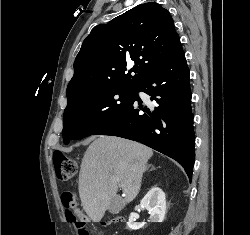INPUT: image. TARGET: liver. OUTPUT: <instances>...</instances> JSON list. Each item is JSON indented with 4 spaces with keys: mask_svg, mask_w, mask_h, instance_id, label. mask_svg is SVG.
<instances>
[{
    "mask_svg": "<svg viewBox=\"0 0 250 235\" xmlns=\"http://www.w3.org/2000/svg\"><path fill=\"white\" fill-rule=\"evenodd\" d=\"M153 151L140 143L115 136H100L87 148L79 174L83 209L93 222H100L118 186L125 194L123 205L138 195L143 173Z\"/></svg>",
    "mask_w": 250,
    "mask_h": 235,
    "instance_id": "1",
    "label": "liver"
}]
</instances>
